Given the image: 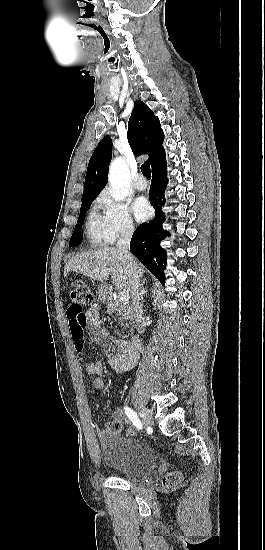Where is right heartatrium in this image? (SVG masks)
Listing matches in <instances>:
<instances>
[{"instance_id":"right-heart-atrium-1","label":"right heart atrium","mask_w":265,"mask_h":550,"mask_svg":"<svg viewBox=\"0 0 265 550\" xmlns=\"http://www.w3.org/2000/svg\"><path fill=\"white\" fill-rule=\"evenodd\" d=\"M97 203L103 209L105 230L110 242L134 233L135 224L124 202L113 199L108 192H103L97 198Z\"/></svg>"}]
</instances>
